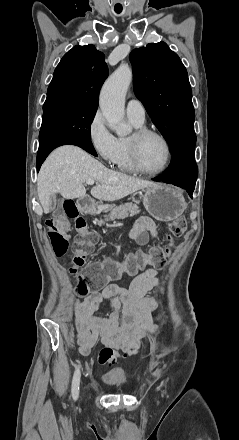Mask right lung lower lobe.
Returning a JSON list of instances; mask_svg holds the SVG:
<instances>
[{
    "label": "right lung lower lobe",
    "instance_id": "98d812e1",
    "mask_svg": "<svg viewBox=\"0 0 239 440\" xmlns=\"http://www.w3.org/2000/svg\"><path fill=\"white\" fill-rule=\"evenodd\" d=\"M65 144L77 145L90 154L97 156V153L91 143V139L79 134H64L46 139L39 146L36 165L39 171L41 164L44 162L49 153L58 146Z\"/></svg>",
    "mask_w": 239,
    "mask_h": 440
}]
</instances>
